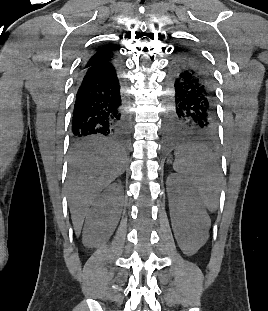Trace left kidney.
<instances>
[{"label": "left kidney", "mask_w": 268, "mask_h": 311, "mask_svg": "<svg viewBox=\"0 0 268 311\" xmlns=\"http://www.w3.org/2000/svg\"><path fill=\"white\" fill-rule=\"evenodd\" d=\"M172 229L182 252L194 255L207 241L210 219L190 181L177 174L167 179Z\"/></svg>", "instance_id": "5707ae66"}]
</instances>
